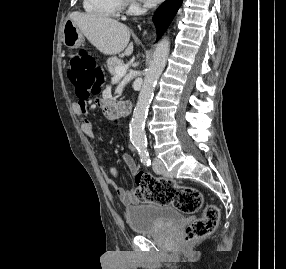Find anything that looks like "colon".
Listing matches in <instances>:
<instances>
[{"label":"colon","instance_id":"colon-1","mask_svg":"<svg viewBox=\"0 0 286 269\" xmlns=\"http://www.w3.org/2000/svg\"><path fill=\"white\" fill-rule=\"evenodd\" d=\"M100 74L95 60L87 52L78 51L70 56L69 78L81 97L95 94ZM135 180L136 196L141 201L172 204L186 214L194 213L202 206L203 195L194 187L175 185L171 181L159 180L148 173H138ZM218 221V208L206 205L202 216L186 228L185 242L190 243L208 236L215 230Z\"/></svg>","mask_w":286,"mask_h":269}]
</instances>
